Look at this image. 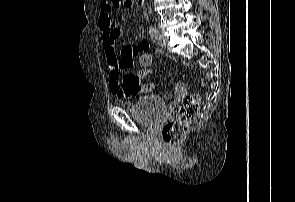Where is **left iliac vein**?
<instances>
[{
    "label": "left iliac vein",
    "mask_w": 295,
    "mask_h": 202,
    "mask_svg": "<svg viewBox=\"0 0 295 202\" xmlns=\"http://www.w3.org/2000/svg\"><path fill=\"white\" fill-rule=\"evenodd\" d=\"M158 42L162 47H165L168 43V37L164 34H159Z\"/></svg>",
    "instance_id": "left-iliac-vein-1"
}]
</instances>
